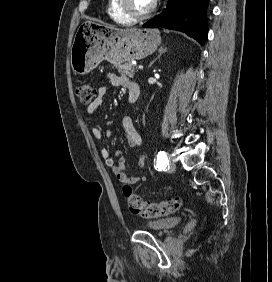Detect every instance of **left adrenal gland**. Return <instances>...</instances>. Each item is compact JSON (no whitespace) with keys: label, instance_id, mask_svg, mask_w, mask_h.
<instances>
[{"label":"left adrenal gland","instance_id":"1","mask_svg":"<svg viewBox=\"0 0 272 282\" xmlns=\"http://www.w3.org/2000/svg\"><path fill=\"white\" fill-rule=\"evenodd\" d=\"M166 51H167V48H166V47L164 48L163 46H161V47L159 48V50H158L159 55L157 56V58H155V59L150 63L149 67L152 66V65L155 63V61H156L157 59H159Z\"/></svg>","mask_w":272,"mask_h":282}]
</instances>
